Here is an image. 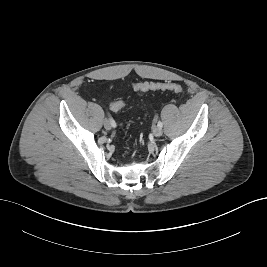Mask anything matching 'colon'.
<instances>
[{"label": "colon", "mask_w": 267, "mask_h": 267, "mask_svg": "<svg viewBox=\"0 0 267 267\" xmlns=\"http://www.w3.org/2000/svg\"><path fill=\"white\" fill-rule=\"evenodd\" d=\"M133 88L137 91L148 92V91H157V90H169L173 92H181L182 86L177 83H148L140 82L134 83ZM123 101H115L110 104V109L112 111H119L125 107Z\"/></svg>", "instance_id": "colon-1"}]
</instances>
